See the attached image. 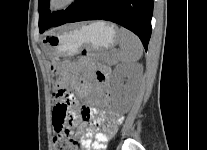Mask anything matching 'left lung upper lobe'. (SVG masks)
Returning <instances> with one entry per match:
<instances>
[{"instance_id": "5c2ea615", "label": "left lung upper lobe", "mask_w": 207, "mask_h": 150, "mask_svg": "<svg viewBox=\"0 0 207 150\" xmlns=\"http://www.w3.org/2000/svg\"><path fill=\"white\" fill-rule=\"evenodd\" d=\"M49 2L50 0H39L38 11L40 33L44 32V30L48 29L49 27L54 26L72 6H69L65 11L51 13V11L49 10Z\"/></svg>"}]
</instances>
